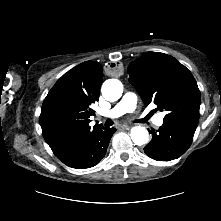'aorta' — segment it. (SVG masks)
<instances>
[{"instance_id": "1", "label": "aorta", "mask_w": 221, "mask_h": 221, "mask_svg": "<svg viewBox=\"0 0 221 221\" xmlns=\"http://www.w3.org/2000/svg\"><path fill=\"white\" fill-rule=\"evenodd\" d=\"M103 97L110 101H117L123 93V85L117 79L106 80L102 85ZM130 136L132 141L138 145H144L149 141V133L145 127L135 126L131 129Z\"/></svg>"}]
</instances>
